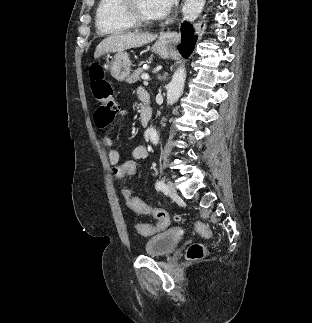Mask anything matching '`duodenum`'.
I'll return each instance as SVG.
<instances>
[{
	"instance_id": "1",
	"label": "duodenum",
	"mask_w": 312,
	"mask_h": 323,
	"mask_svg": "<svg viewBox=\"0 0 312 323\" xmlns=\"http://www.w3.org/2000/svg\"><path fill=\"white\" fill-rule=\"evenodd\" d=\"M143 106L140 110L139 114V122L142 127H146L148 123L150 122L152 115H153V109L149 101L148 95H144L143 97Z\"/></svg>"
}]
</instances>
